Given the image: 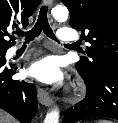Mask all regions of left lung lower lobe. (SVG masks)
Masks as SVG:
<instances>
[{
	"label": "left lung lower lobe",
	"instance_id": "left-lung-lower-lobe-1",
	"mask_svg": "<svg viewBox=\"0 0 118 123\" xmlns=\"http://www.w3.org/2000/svg\"><path fill=\"white\" fill-rule=\"evenodd\" d=\"M77 70L86 84L87 95L66 112L63 123L100 116L118 120V65L103 67L93 76Z\"/></svg>",
	"mask_w": 118,
	"mask_h": 123
}]
</instances>
